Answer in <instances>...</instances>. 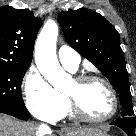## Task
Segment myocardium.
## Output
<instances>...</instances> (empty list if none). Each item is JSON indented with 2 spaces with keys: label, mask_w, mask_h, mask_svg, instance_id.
<instances>
[{
  "label": "myocardium",
  "mask_w": 136,
  "mask_h": 136,
  "mask_svg": "<svg viewBox=\"0 0 136 136\" xmlns=\"http://www.w3.org/2000/svg\"><path fill=\"white\" fill-rule=\"evenodd\" d=\"M94 81L103 83L107 87L112 98V110L105 117L93 118L86 115L84 111L82 110V108L80 107L79 102L75 96L71 94H67V93L65 94V96H66L69 110L74 117L84 122L100 124V123L109 121L116 115L118 111V107H119V100H118L117 92L114 86L111 84L109 80H107L106 78L102 76L94 75V74L79 75L74 79V82L76 83L78 87H82L86 85L87 83L94 82Z\"/></svg>",
  "instance_id": "f54148a6"
}]
</instances>
